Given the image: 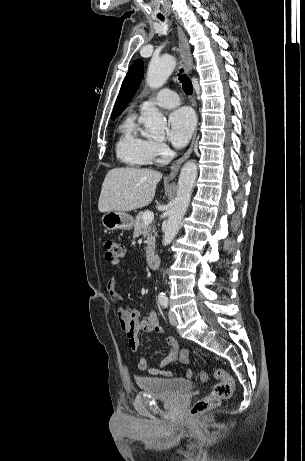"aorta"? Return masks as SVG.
<instances>
[{"instance_id":"aorta-1","label":"aorta","mask_w":305,"mask_h":461,"mask_svg":"<svg viewBox=\"0 0 305 461\" xmlns=\"http://www.w3.org/2000/svg\"><path fill=\"white\" fill-rule=\"evenodd\" d=\"M175 65V59L170 55L152 60L148 66L147 84L153 89L160 88L172 74ZM141 121L150 136L155 138L164 136L166 119L157 108H146L142 113ZM196 177L197 165L195 161H187L179 175L177 195L163 235L162 244L164 246L172 242L180 229L181 220L190 203Z\"/></svg>"}]
</instances>
